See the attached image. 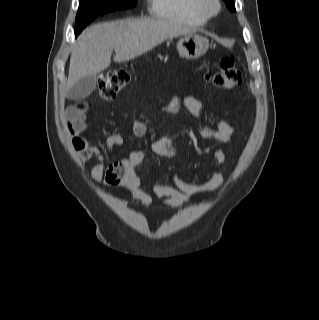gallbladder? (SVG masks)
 I'll return each instance as SVG.
<instances>
[{
	"label": "gallbladder",
	"instance_id": "1",
	"mask_svg": "<svg viewBox=\"0 0 319 320\" xmlns=\"http://www.w3.org/2000/svg\"><path fill=\"white\" fill-rule=\"evenodd\" d=\"M96 76H87L74 84L66 93L70 100H80L88 97L96 88Z\"/></svg>",
	"mask_w": 319,
	"mask_h": 320
}]
</instances>
